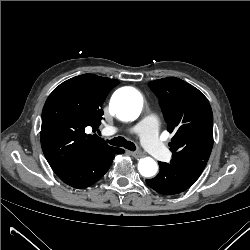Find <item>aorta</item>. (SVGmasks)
<instances>
[{"label": "aorta", "mask_w": 250, "mask_h": 250, "mask_svg": "<svg viewBox=\"0 0 250 250\" xmlns=\"http://www.w3.org/2000/svg\"><path fill=\"white\" fill-rule=\"evenodd\" d=\"M143 101L140 94L133 88H123L117 91L110 102V111L122 119H135L141 113ZM138 170L144 177H151L158 170L157 163L150 157L142 158Z\"/></svg>", "instance_id": "762f6f07"}]
</instances>
